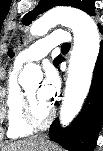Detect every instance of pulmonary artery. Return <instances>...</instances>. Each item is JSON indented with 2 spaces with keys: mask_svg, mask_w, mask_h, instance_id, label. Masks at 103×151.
I'll list each match as a JSON object with an SVG mask.
<instances>
[{
  "mask_svg": "<svg viewBox=\"0 0 103 151\" xmlns=\"http://www.w3.org/2000/svg\"><path fill=\"white\" fill-rule=\"evenodd\" d=\"M69 40L70 35L67 32L61 30L55 31L22 51L18 55L16 62L22 66L28 62L38 61L44 58L55 46L65 44Z\"/></svg>",
  "mask_w": 103,
  "mask_h": 151,
  "instance_id": "1",
  "label": "pulmonary artery"
}]
</instances>
